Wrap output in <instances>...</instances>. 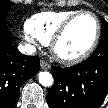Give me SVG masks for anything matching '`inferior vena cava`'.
I'll return each instance as SVG.
<instances>
[{"label":"inferior vena cava","instance_id":"obj_1","mask_svg":"<svg viewBox=\"0 0 108 108\" xmlns=\"http://www.w3.org/2000/svg\"><path fill=\"white\" fill-rule=\"evenodd\" d=\"M19 51L24 54V55H32L36 52V48L35 46L31 45V44H20L18 46Z\"/></svg>","mask_w":108,"mask_h":108}]
</instances>
